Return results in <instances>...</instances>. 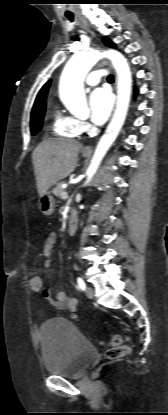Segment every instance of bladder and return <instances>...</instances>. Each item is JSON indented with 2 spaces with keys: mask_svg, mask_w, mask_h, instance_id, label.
Returning a JSON list of instances; mask_svg holds the SVG:
<instances>
[{
  "mask_svg": "<svg viewBox=\"0 0 168 415\" xmlns=\"http://www.w3.org/2000/svg\"><path fill=\"white\" fill-rule=\"evenodd\" d=\"M41 349L46 372L66 378L81 376L97 356L95 346L64 318L42 324Z\"/></svg>",
  "mask_w": 168,
  "mask_h": 415,
  "instance_id": "bladder-1",
  "label": "bladder"
}]
</instances>
